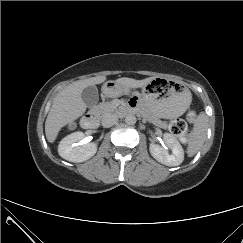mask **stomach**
I'll return each mask as SVG.
<instances>
[{"label": "stomach", "instance_id": "1", "mask_svg": "<svg viewBox=\"0 0 243 243\" xmlns=\"http://www.w3.org/2000/svg\"><path fill=\"white\" fill-rule=\"evenodd\" d=\"M122 85L108 81L103 91L110 96H117ZM141 97L153 115L164 119L181 116L190 106L192 95L182 83H172L165 79H156L142 88Z\"/></svg>", "mask_w": 243, "mask_h": 243}]
</instances>
